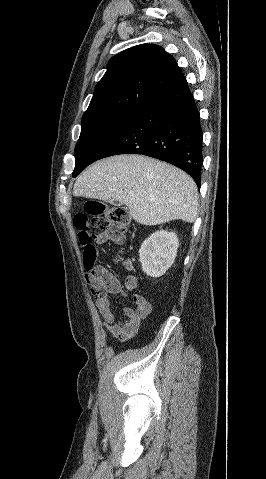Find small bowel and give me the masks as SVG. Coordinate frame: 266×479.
Listing matches in <instances>:
<instances>
[{
    "label": "small bowel",
    "mask_w": 266,
    "mask_h": 479,
    "mask_svg": "<svg viewBox=\"0 0 266 479\" xmlns=\"http://www.w3.org/2000/svg\"><path fill=\"white\" fill-rule=\"evenodd\" d=\"M124 239L123 235H117L107 230L93 235L91 243L94 245V243L100 244L112 241L121 244ZM92 279L98 291L95 304L104 321L106 330L113 338L121 341L133 337L140 326L141 320L148 315L151 308L150 303L143 295L135 293L138 284L137 278L134 275L128 276L123 287L114 274L103 265H97L92 272ZM128 294H131L135 306L126 307L124 309L125 318L119 321L112 309L110 295L127 296Z\"/></svg>",
    "instance_id": "obj_1"
}]
</instances>
